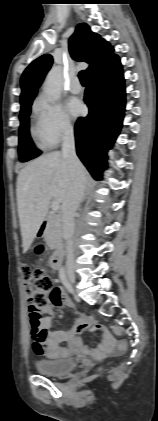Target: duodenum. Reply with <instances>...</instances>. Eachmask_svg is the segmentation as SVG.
Instances as JSON below:
<instances>
[{
	"instance_id": "obj_1",
	"label": "duodenum",
	"mask_w": 158,
	"mask_h": 421,
	"mask_svg": "<svg viewBox=\"0 0 158 421\" xmlns=\"http://www.w3.org/2000/svg\"><path fill=\"white\" fill-rule=\"evenodd\" d=\"M46 229V222L44 221L40 227V233L42 234ZM64 251L62 249L57 250L51 257L50 266L53 270H58L61 267L63 261Z\"/></svg>"
}]
</instances>
